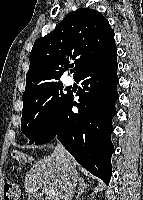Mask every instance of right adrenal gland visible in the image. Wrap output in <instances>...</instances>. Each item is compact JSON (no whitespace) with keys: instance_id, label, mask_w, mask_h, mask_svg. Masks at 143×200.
<instances>
[{"instance_id":"1","label":"right adrenal gland","mask_w":143,"mask_h":200,"mask_svg":"<svg viewBox=\"0 0 143 200\" xmlns=\"http://www.w3.org/2000/svg\"><path fill=\"white\" fill-rule=\"evenodd\" d=\"M88 185L84 182V179L80 178V188L79 193L76 196V200H81L80 197L84 193V191L87 189Z\"/></svg>"}]
</instances>
